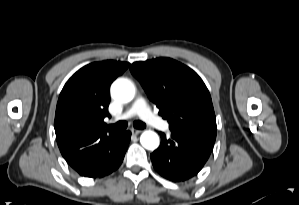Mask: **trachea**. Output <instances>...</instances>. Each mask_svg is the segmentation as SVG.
<instances>
[{
    "label": "trachea",
    "instance_id": "3493384b",
    "mask_svg": "<svg viewBox=\"0 0 299 205\" xmlns=\"http://www.w3.org/2000/svg\"><path fill=\"white\" fill-rule=\"evenodd\" d=\"M133 126L136 129H144V128H146V124L143 123L142 121H135L133 123ZM126 128H127V122L126 121H119L116 124H110V125L107 126L108 130H112V131H115V132H122Z\"/></svg>",
    "mask_w": 299,
    "mask_h": 205
}]
</instances>
